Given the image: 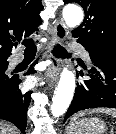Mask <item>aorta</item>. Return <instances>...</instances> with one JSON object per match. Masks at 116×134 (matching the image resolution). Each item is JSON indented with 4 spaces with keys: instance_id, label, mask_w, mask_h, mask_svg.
Returning <instances> with one entry per match:
<instances>
[{
    "instance_id": "aorta-1",
    "label": "aorta",
    "mask_w": 116,
    "mask_h": 134,
    "mask_svg": "<svg viewBox=\"0 0 116 134\" xmlns=\"http://www.w3.org/2000/svg\"><path fill=\"white\" fill-rule=\"evenodd\" d=\"M63 19L67 26L77 27L83 20L82 9L74 4H69L63 9ZM75 90V74L64 68L58 86L53 96L51 113L54 117L62 116L68 109Z\"/></svg>"
}]
</instances>
